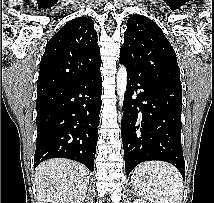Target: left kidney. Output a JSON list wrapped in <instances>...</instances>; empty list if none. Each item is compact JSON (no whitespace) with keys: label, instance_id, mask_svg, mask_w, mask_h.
<instances>
[{"label":"left kidney","instance_id":"left-kidney-1","mask_svg":"<svg viewBox=\"0 0 214 203\" xmlns=\"http://www.w3.org/2000/svg\"><path fill=\"white\" fill-rule=\"evenodd\" d=\"M133 203H147V202L140 200V199H136Z\"/></svg>","mask_w":214,"mask_h":203}]
</instances>
